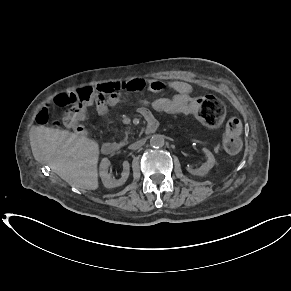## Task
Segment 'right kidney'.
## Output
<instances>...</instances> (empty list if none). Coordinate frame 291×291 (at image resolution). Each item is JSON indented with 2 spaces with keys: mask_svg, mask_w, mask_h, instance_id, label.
I'll return each instance as SVG.
<instances>
[{
  "mask_svg": "<svg viewBox=\"0 0 291 291\" xmlns=\"http://www.w3.org/2000/svg\"><path fill=\"white\" fill-rule=\"evenodd\" d=\"M110 164L111 163H110L108 158H103L101 160V163H100V171H99L103 185L109 189L123 185L127 181L128 177H129V173H130L129 163H128V161H124L123 162V172L121 174V178L118 180L113 179L111 177L110 173L108 172Z\"/></svg>",
  "mask_w": 291,
  "mask_h": 291,
  "instance_id": "1",
  "label": "right kidney"
}]
</instances>
